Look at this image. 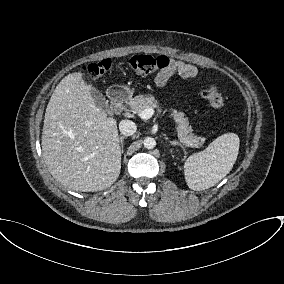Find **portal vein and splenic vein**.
I'll return each mask as SVG.
<instances>
[{
	"label": "portal vein and splenic vein",
	"mask_w": 284,
	"mask_h": 284,
	"mask_svg": "<svg viewBox=\"0 0 284 284\" xmlns=\"http://www.w3.org/2000/svg\"><path fill=\"white\" fill-rule=\"evenodd\" d=\"M153 114H154L153 108H146L143 111H141L138 115L141 119L148 120L153 116Z\"/></svg>",
	"instance_id": "obj_1"
}]
</instances>
